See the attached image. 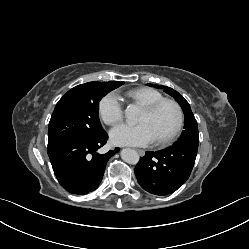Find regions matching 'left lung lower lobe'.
Listing matches in <instances>:
<instances>
[{"instance_id":"0a47b994","label":"left lung lower lobe","mask_w":249,"mask_h":249,"mask_svg":"<svg viewBox=\"0 0 249 249\" xmlns=\"http://www.w3.org/2000/svg\"><path fill=\"white\" fill-rule=\"evenodd\" d=\"M197 147L170 146L147 151L134 171L141 187L156 195L176 191L189 178L197 155Z\"/></svg>"}]
</instances>
